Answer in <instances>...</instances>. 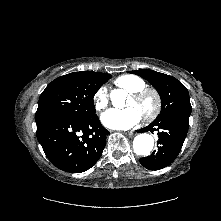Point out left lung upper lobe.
Returning <instances> with one entry per match:
<instances>
[{
  "mask_svg": "<svg viewBox=\"0 0 221 221\" xmlns=\"http://www.w3.org/2000/svg\"><path fill=\"white\" fill-rule=\"evenodd\" d=\"M146 79L161 97V112L153 121H161L169 116L190 115L192 107L187 88L176 78L150 69L129 71Z\"/></svg>",
  "mask_w": 221,
  "mask_h": 221,
  "instance_id": "left-lung-upper-lobe-1",
  "label": "left lung upper lobe"
}]
</instances>
